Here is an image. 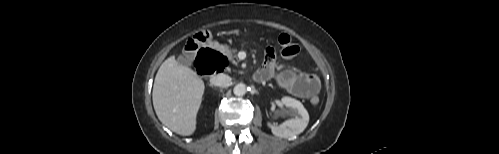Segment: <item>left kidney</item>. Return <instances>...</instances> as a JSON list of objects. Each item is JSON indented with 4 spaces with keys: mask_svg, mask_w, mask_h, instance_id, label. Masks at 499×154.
<instances>
[{
    "mask_svg": "<svg viewBox=\"0 0 499 154\" xmlns=\"http://www.w3.org/2000/svg\"><path fill=\"white\" fill-rule=\"evenodd\" d=\"M282 104L290 108L293 118L283 122L280 125L268 123L275 136L282 138H290L304 131L309 123V114L303 104L291 97H283Z\"/></svg>",
    "mask_w": 499,
    "mask_h": 154,
    "instance_id": "left-kidney-1",
    "label": "left kidney"
}]
</instances>
